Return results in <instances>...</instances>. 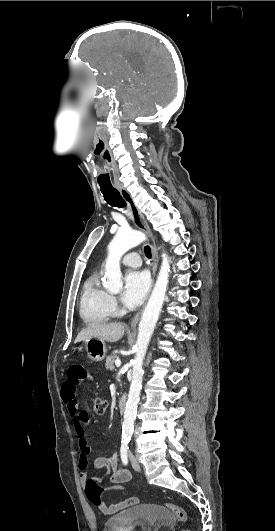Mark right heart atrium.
<instances>
[{
    "label": "right heart atrium",
    "mask_w": 275,
    "mask_h": 531,
    "mask_svg": "<svg viewBox=\"0 0 275 531\" xmlns=\"http://www.w3.org/2000/svg\"><path fill=\"white\" fill-rule=\"evenodd\" d=\"M109 305L112 312H116L118 310V301L114 295L109 294Z\"/></svg>",
    "instance_id": "1"
}]
</instances>
